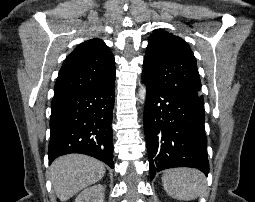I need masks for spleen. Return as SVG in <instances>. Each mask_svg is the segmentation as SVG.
<instances>
[{"label": "spleen", "instance_id": "1", "mask_svg": "<svg viewBox=\"0 0 255 202\" xmlns=\"http://www.w3.org/2000/svg\"><path fill=\"white\" fill-rule=\"evenodd\" d=\"M162 183L166 193L178 200H192L206 192V179L196 169H169L163 173Z\"/></svg>", "mask_w": 255, "mask_h": 202}]
</instances>
